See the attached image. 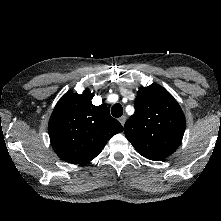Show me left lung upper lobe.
<instances>
[{
  "label": "left lung upper lobe",
  "instance_id": "obj_1",
  "mask_svg": "<svg viewBox=\"0 0 221 221\" xmlns=\"http://www.w3.org/2000/svg\"><path fill=\"white\" fill-rule=\"evenodd\" d=\"M135 112L124 133L137 152L150 160H162L176 151L185 130V117L177 101L160 85L141 87Z\"/></svg>",
  "mask_w": 221,
  "mask_h": 221
}]
</instances>
